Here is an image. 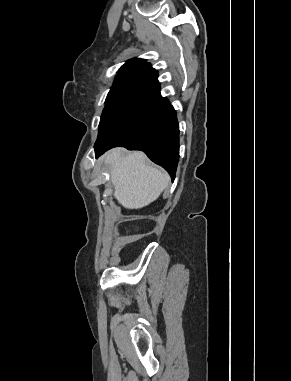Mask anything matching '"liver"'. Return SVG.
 I'll return each instance as SVG.
<instances>
[{"label": "liver", "mask_w": 291, "mask_h": 381, "mask_svg": "<svg viewBox=\"0 0 291 381\" xmlns=\"http://www.w3.org/2000/svg\"><path fill=\"white\" fill-rule=\"evenodd\" d=\"M104 163L110 167L114 197L128 209L149 205L169 184L168 174L148 165L140 151L126 154L122 148H116L106 154Z\"/></svg>", "instance_id": "liver-1"}]
</instances>
